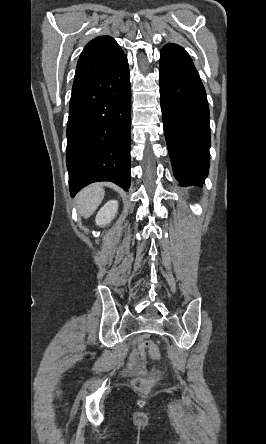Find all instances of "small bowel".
Segmentation results:
<instances>
[{
  "mask_svg": "<svg viewBox=\"0 0 266 444\" xmlns=\"http://www.w3.org/2000/svg\"><path fill=\"white\" fill-rule=\"evenodd\" d=\"M125 373L129 376L145 373V367L139 352L135 351L132 353L125 369Z\"/></svg>",
  "mask_w": 266,
  "mask_h": 444,
  "instance_id": "1",
  "label": "small bowel"
}]
</instances>
